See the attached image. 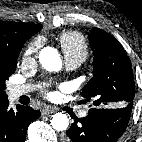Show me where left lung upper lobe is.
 <instances>
[{
	"instance_id": "obj_1",
	"label": "left lung upper lobe",
	"mask_w": 142,
	"mask_h": 142,
	"mask_svg": "<svg viewBox=\"0 0 142 142\" xmlns=\"http://www.w3.org/2000/svg\"><path fill=\"white\" fill-rule=\"evenodd\" d=\"M93 50V77L82 89L87 101L96 108L132 107L134 76L122 45L109 33L92 28L89 36Z\"/></svg>"
}]
</instances>
